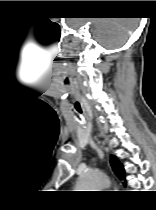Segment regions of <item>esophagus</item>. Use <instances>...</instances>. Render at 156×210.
I'll list each match as a JSON object with an SVG mask.
<instances>
[{"mask_svg": "<svg viewBox=\"0 0 156 210\" xmlns=\"http://www.w3.org/2000/svg\"><path fill=\"white\" fill-rule=\"evenodd\" d=\"M112 182L114 183V178L112 177ZM113 187L115 188V183L113 184Z\"/></svg>", "mask_w": 156, "mask_h": 210, "instance_id": "obj_1", "label": "esophagus"}]
</instances>
